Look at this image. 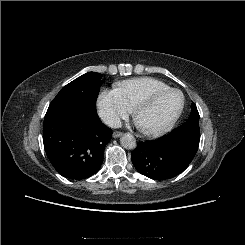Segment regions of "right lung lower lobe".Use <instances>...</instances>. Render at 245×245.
Here are the masks:
<instances>
[{"label":"right lung lower lobe","instance_id":"98d812e1","mask_svg":"<svg viewBox=\"0 0 245 245\" xmlns=\"http://www.w3.org/2000/svg\"><path fill=\"white\" fill-rule=\"evenodd\" d=\"M112 130L96 110L80 105L48 108L43 125V143L48 159L62 176L81 180L101 167L104 148Z\"/></svg>","mask_w":245,"mask_h":245}]
</instances>
